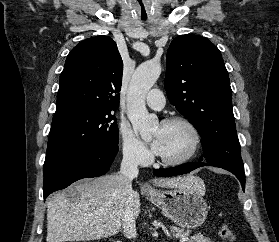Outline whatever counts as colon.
Listing matches in <instances>:
<instances>
[{"label":"colon","mask_w":279,"mask_h":242,"mask_svg":"<svg viewBox=\"0 0 279 242\" xmlns=\"http://www.w3.org/2000/svg\"><path fill=\"white\" fill-rule=\"evenodd\" d=\"M219 235L225 242H235L236 236L229 225H222L219 229Z\"/></svg>","instance_id":"colon-1"}]
</instances>
